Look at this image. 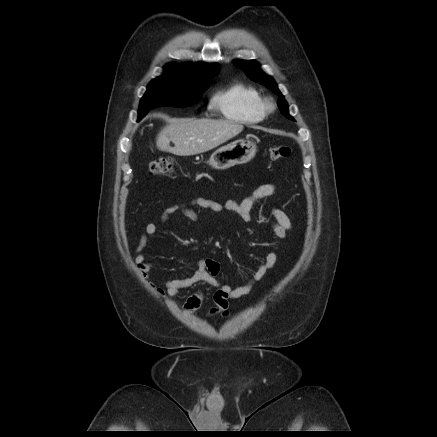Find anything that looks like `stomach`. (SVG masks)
<instances>
[{"label":"stomach","mask_w":437,"mask_h":437,"mask_svg":"<svg viewBox=\"0 0 437 437\" xmlns=\"http://www.w3.org/2000/svg\"><path fill=\"white\" fill-rule=\"evenodd\" d=\"M257 146L250 140H237L215 150L208 164L218 170H225L236 164L247 163L255 157Z\"/></svg>","instance_id":"stomach-1"}]
</instances>
